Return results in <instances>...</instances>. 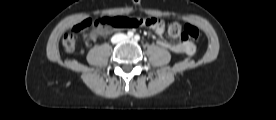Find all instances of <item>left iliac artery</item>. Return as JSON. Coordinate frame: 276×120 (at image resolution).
<instances>
[{
  "instance_id": "1",
  "label": "left iliac artery",
  "mask_w": 276,
  "mask_h": 120,
  "mask_svg": "<svg viewBox=\"0 0 276 120\" xmlns=\"http://www.w3.org/2000/svg\"><path fill=\"white\" fill-rule=\"evenodd\" d=\"M134 39H135L136 41H138V40L140 39V36H139V35H135V36H134Z\"/></svg>"
}]
</instances>
